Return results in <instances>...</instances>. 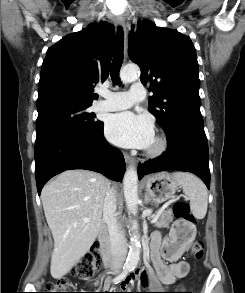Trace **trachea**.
Wrapping results in <instances>:
<instances>
[{
    "label": "trachea",
    "mask_w": 245,
    "mask_h": 293,
    "mask_svg": "<svg viewBox=\"0 0 245 293\" xmlns=\"http://www.w3.org/2000/svg\"><path fill=\"white\" fill-rule=\"evenodd\" d=\"M123 30L121 27L117 31V40L115 46V52L112 60L110 75L114 84H120L119 71L123 63Z\"/></svg>",
    "instance_id": "3493384b"
}]
</instances>
